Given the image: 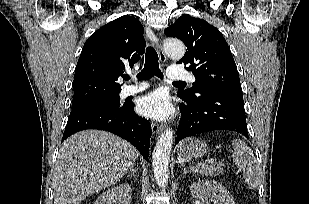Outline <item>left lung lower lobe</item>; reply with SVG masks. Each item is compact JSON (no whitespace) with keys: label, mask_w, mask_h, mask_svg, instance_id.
I'll use <instances>...</instances> for the list:
<instances>
[{"label":"left lung lower lobe","mask_w":309,"mask_h":204,"mask_svg":"<svg viewBox=\"0 0 309 204\" xmlns=\"http://www.w3.org/2000/svg\"><path fill=\"white\" fill-rule=\"evenodd\" d=\"M181 97V121L176 143L199 133L212 130H232L248 138L242 92H202L195 98Z\"/></svg>","instance_id":"obj_1"}]
</instances>
